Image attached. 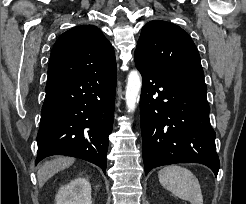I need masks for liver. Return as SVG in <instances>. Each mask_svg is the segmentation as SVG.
<instances>
[{
    "instance_id": "obj_1",
    "label": "liver",
    "mask_w": 246,
    "mask_h": 204,
    "mask_svg": "<svg viewBox=\"0 0 246 204\" xmlns=\"http://www.w3.org/2000/svg\"><path fill=\"white\" fill-rule=\"evenodd\" d=\"M75 159L72 157H57L52 160L45 161L38 169L37 179L39 187L48 181L54 174L63 170L74 163Z\"/></svg>"
}]
</instances>
